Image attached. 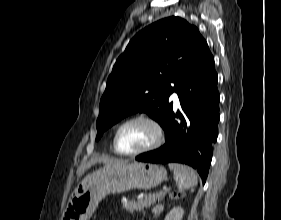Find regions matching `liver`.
<instances>
[{"mask_svg": "<svg viewBox=\"0 0 281 220\" xmlns=\"http://www.w3.org/2000/svg\"><path fill=\"white\" fill-rule=\"evenodd\" d=\"M97 162H103L105 164V167H113V166H120L127 164L128 162L122 159H113V158H108V157H99L96 156L92 158L82 169L80 172L79 176H81L85 170L89 169L92 165L96 164Z\"/></svg>", "mask_w": 281, "mask_h": 220, "instance_id": "obj_1", "label": "liver"}]
</instances>
